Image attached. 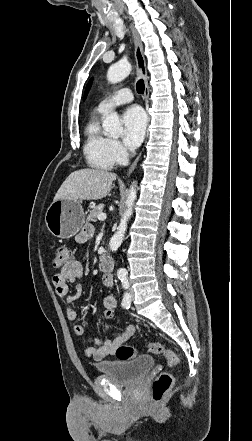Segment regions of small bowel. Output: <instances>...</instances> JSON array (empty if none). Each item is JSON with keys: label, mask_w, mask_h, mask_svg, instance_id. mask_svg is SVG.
Listing matches in <instances>:
<instances>
[{"label": "small bowel", "mask_w": 252, "mask_h": 441, "mask_svg": "<svg viewBox=\"0 0 252 441\" xmlns=\"http://www.w3.org/2000/svg\"><path fill=\"white\" fill-rule=\"evenodd\" d=\"M92 234V229L90 227L84 228L79 235L77 240L79 242L86 241ZM83 276V268L81 263L77 259H72L68 265L63 267L59 273L55 274L52 282L55 287L56 294L60 297L66 299L68 305L66 309V317L70 321L77 320V312L72 307L74 301H76L82 294V285L79 283ZM73 283L75 286V292L69 295L68 283ZM102 283L105 287H112L114 284V278L111 273H104L102 276ZM102 307L111 304L114 307L117 306V299L112 296H106L102 300ZM73 332L77 337L84 336V328L80 324H75L73 327ZM135 334V327L129 325L126 327L125 331L114 339H108L101 342L95 339V346L88 347L85 350V355L95 361H100L106 357L116 353L117 349L124 345L133 335Z\"/></svg>", "instance_id": "1"}]
</instances>
